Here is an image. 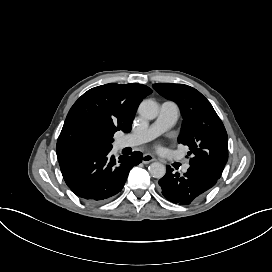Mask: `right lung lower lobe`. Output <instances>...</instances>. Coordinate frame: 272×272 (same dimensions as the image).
Instances as JSON below:
<instances>
[{
	"mask_svg": "<svg viewBox=\"0 0 272 272\" xmlns=\"http://www.w3.org/2000/svg\"><path fill=\"white\" fill-rule=\"evenodd\" d=\"M111 150L84 152L59 161L67 186L84 201L99 203L119 193L130 169L141 162L142 154L116 160Z\"/></svg>",
	"mask_w": 272,
	"mask_h": 272,
	"instance_id": "obj_1",
	"label": "right lung lower lobe"
}]
</instances>
